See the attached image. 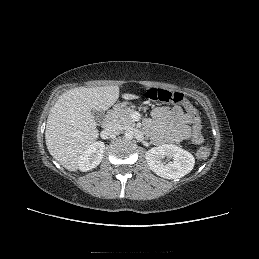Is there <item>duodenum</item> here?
<instances>
[{
    "instance_id": "obj_1",
    "label": "duodenum",
    "mask_w": 259,
    "mask_h": 259,
    "mask_svg": "<svg viewBox=\"0 0 259 259\" xmlns=\"http://www.w3.org/2000/svg\"><path fill=\"white\" fill-rule=\"evenodd\" d=\"M118 108H120V105H117L113 108V110H111L105 117L104 121H103V127L104 128H108L112 122H113V118H114V111L117 110Z\"/></svg>"
}]
</instances>
